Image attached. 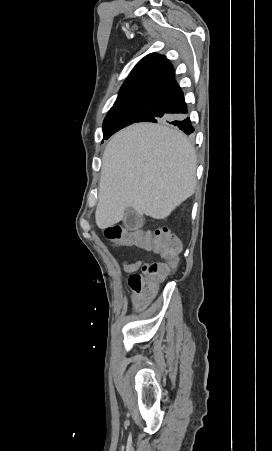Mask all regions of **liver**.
I'll use <instances>...</instances> for the list:
<instances>
[{"mask_svg":"<svg viewBox=\"0 0 272 451\" xmlns=\"http://www.w3.org/2000/svg\"><path fill=\"white\" fill-rule=\"evenodd\" d=\"M196 152L187 136L162 124H133L110 138L103 154L95 220L118 224L126 208L167 218L196 188Z\"/></svg>","mask_w":272,"mask_h":451,"instance_id":"1","label":"liver"}]
</instances>
